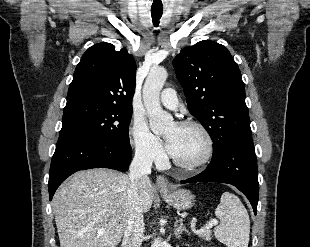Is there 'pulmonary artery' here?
<instances>
[{"label": "pulmonary artery", "instance_id": "pulmonary-artery-1", "mask_svg": "<svg viewBox=\"0 0 310 247\" xmlns=\"http://www.w3.org/2000/svg\"><path fill=\"white\" fill-rule=\"evenodd\" d=\"M160 100L169 109H176L179 103L175 90L171 88H166L162 91Z\"/></svg>", "mask_w": 310, "mask_h": 247}]
</instances>
